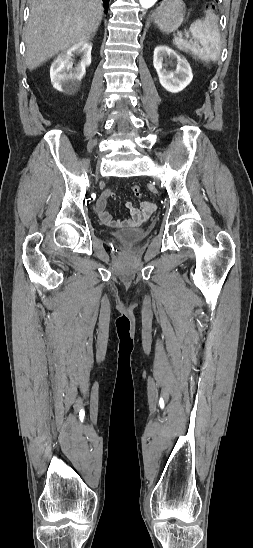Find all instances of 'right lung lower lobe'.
<instances>
[{
	"mask_svg": "<svg viewBox=\"0 0 253 548\" xmlns=\"http://www.w3.org/2000/svg\"><path fill=\"white\" fill-rule=\"evenodd\" d=\"M103 2H104V4H105L106 9H108L109 0H103Z\"/></svg>",
	"mask_w": 253,
	"mask_h": 548,
	"instance_id": "1",
	"label": "right lung lower lobe"
}]
</instances>
